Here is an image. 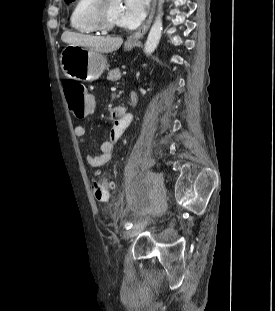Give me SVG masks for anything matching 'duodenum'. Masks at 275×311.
<instances>
[{"instance_id": "410a0bca", "label": "duodenum", "mask_w": 275, "mask_h": 311, "mask_svg": "<svg viewBox=\"0 0 275 311\" xmlns=\"http://www.w3.org/2000/svg\"><path fill=\"white\" fill-rule=\"evenodd\" d=\"M132 101L133 102H135V99L132 97ZM116 110H125V107H123V106H117L116 108H115ZM114 109V110H115Z\"/></svg>"}]
</instances>
